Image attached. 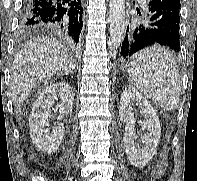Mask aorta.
Segmentation results:
<instances>
[{"label":"aorta","instance_id":"aorta-1","mask_svg":"<svg viewBox=\"0 0 197 181\" xmlns=\"http://www.w3.org/2000/svg\"><path fill=\"white\" fill-rule=\"evenodd\" d=\"M110 44L113 50L120 47L125 33V0H110Z\"/></svg>","mask_w":197,"mask_h":181}]
</instances>
